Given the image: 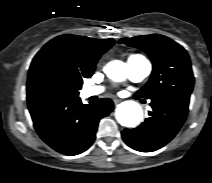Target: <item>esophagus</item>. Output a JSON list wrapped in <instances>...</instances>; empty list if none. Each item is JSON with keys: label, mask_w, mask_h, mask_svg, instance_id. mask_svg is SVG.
<instances>
[{"label": "esophagus", "mask_w": 212, "mask_h": 183, "mask_svg": "<svg viewBox=\"0 0 212 183\" xmlns=\"http://www.w3.org/2000/svg\"><path fill=\"white\" fill-rule=\"evenodd\" d=\"M119 103L118 99H114V104L117 105Z\"/></svg>", "instance_id": "esophagus-1"}]
</instances>
